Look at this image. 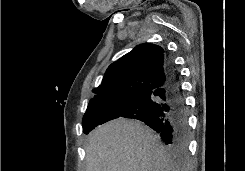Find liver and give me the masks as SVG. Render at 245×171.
Masks as SVG:
<instances>
[{
	"mask_svg": "<svg viewBox=\"0 0 245 171\" xmlns=\"http://www.w3.org/2000/svg\"><path fill=\"white\" fill-rule=\"evenodd\" d=\"M86 171H178L159 137L140 121L119 118L92 131Z\"/></svg>",
	"mask_w": 245,
	"mask_h": 171,
	"instance_id": "6515ba94",
	"label": "liver"
}]
</instances>
